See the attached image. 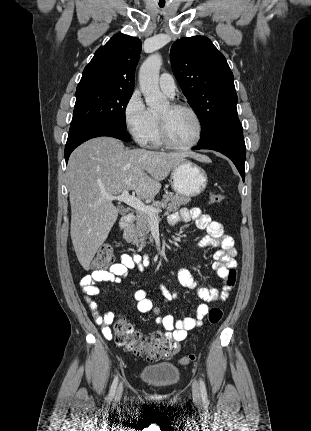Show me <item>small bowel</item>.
Wrapping results in <instances>:
<instances>
[{
	"instance_id": "c3829d8e",
	"label": "small bowel",
	"mask_w": 311,
	"mask_h": 431,
	"mask_svg": "<svg viewBox=\"0 0 311 431\" xmlns=\"http://www.w3.org/2000/svg\"><path fill=\"white\" fill-rule=\"evenodd\" d=\"M169 224L172 226L180 222L194 221L198 228L204 230L206 235L198 244L200 249L205 247H217L218 250L214 254L213 271L217 277L224 280L230 268L236 267L237 262L235 257L237 251L234 247V239L224 233L223 226L220 222L214 221L209 215L203 214L199 208L181 209L169 215ZM149 260L146 257L139 255L123 254L120 261L109 266L106 270H96L84 276L80 285L84 294V299L92 311L95 322L102 327V332L105 338L110 340L112 333L107 326L112 320V314H108L105 318L101 317L97 312V303L92 299L100 293V289L96 286L101 282L118 283L122 278L128 275V272L139 268L140 270L147 268ZM179 282L190 289H194L197 295L204 302L222 301L228 296L227 287L222 290L216 288L198 287L190 272L186 268H181L178 271ZM161 294L165 301L176 299L177 294L167 288L165 285L160 286ZM134 299L137 303V310L140 313H150L155 317L156 324L162 326L167 333H155L153 337L164 335L176 342L183 341L187 332L202 325L204 317L208 314L209 307L206 303L200 304L194 313L190 316L175 320L172 315H160V309L154 306L153 301L148 297L146 290L139 289L134 292Z\"/></svg>"
}]
</instances>
